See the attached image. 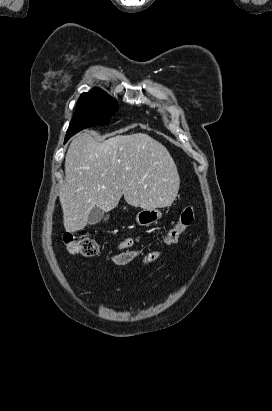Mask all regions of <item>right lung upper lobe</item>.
I'll return each mask as SVG.
<instances>
[{
    "label": "right lung upper lobe",
    "mask_w": 272,
    "mask_h": 411,
    "mask_svg": "<svg viewBox=\"0 0 272 411\" xmlns=\"http://www.w3.org/2000/svg\"><path fill=\"white\" fill-rule=\"evenodd\" d=\"M97 91H102L101 89H98V88H94L92 91H90V92H97Z\"/></svg>",
    "instance_id": "cb5924a9"
}]
</instances>
